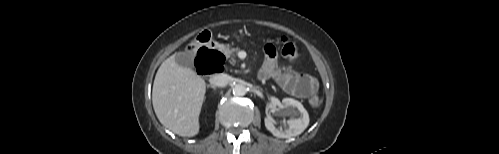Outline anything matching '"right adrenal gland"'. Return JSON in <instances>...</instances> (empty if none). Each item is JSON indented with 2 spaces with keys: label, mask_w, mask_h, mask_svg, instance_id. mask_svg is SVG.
<instances>
[{
  "label": "right adrenal gland",
  "mask_w": 499,
  "mask_h": 154,
  "mask_svg": "<svg viewBox=\"0 0 499 154\" xmlns=\"http://www.w3.org/2000/svg\"><path fill=\"white\" fill-rule=\"evenodd\" d=\"M208 87L215 88V87H214V86H212V85H208Z\"/></svg>",
  "instance_id": "1"
}]
</instances>
